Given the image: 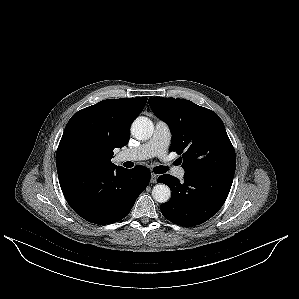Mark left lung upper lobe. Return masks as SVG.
Segmentation results:
<instances>
[{
  "instance_id": "left-lung-upper-lobe-1",
  "label": "left lung upper lobe",
  "mask_w": 299,
  "mask_h": 299,
  "mask_svg": "<svg viewBox=\"0 0 299 299\" xmlns=\"http://www.w3.org/2000/svg\"><path fill=\"white\" fill-rule=\"evenodd\" d=\"M154 114L172 133L170 151L182 154L185 172L235 173L236 155L220 117L195 103L175 98H149Z\"/></svg>"
}]
</instances>
